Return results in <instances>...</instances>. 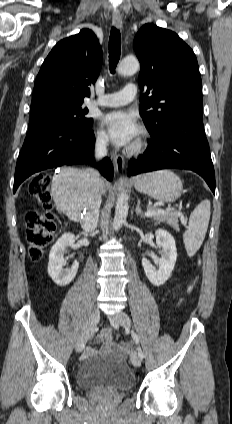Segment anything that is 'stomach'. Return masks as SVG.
<instances>
[{
	"instance_id": "stomach-1",
	"label": "stomach",
	"mask_w": 232,
	"mask_h": 424,
	"mask_svg": "<svg viewBox=\"0 0 232 424\" xmlns=\"http://www.w3.org/2000/svg\"><path fill=\"white\" fill-rule=\"evenodd\" d=\"M134 187L138 192L164 203L176 201L183 191L180 178L170 170L148 173L137 179Z\"/></svg>"
}]
</instances>
